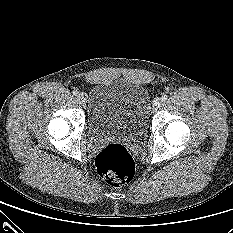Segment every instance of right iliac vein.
Here are the masks:
<instances>
[{
	"label": "right iliac vein",
	"mask_w": 233,
	"mask_h": 233,
	"mask_svg": "<svg viewBox=\"0 0 233 233\" xmlns=\"http://www.w3.org/2000/svg\"><path fill=\"white\" fill-rule=\"evenodd\" d=\"M78 100L80 101V103L84 104V103L86 102V100H87L86 94L80 93V94L78 95Z\"/></svg>",
	"instance_id": "1"
}]
</instances>
